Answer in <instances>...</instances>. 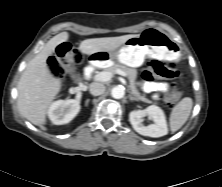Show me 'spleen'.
<instances>
[{"instance_id":"obj_1","label":"spleen","mask_w":222,"mask_h":187,"mask_svg":"<svg viewBox=\"0 0 222 187\" xmlns=\"http://www.w3.org/2000/svg\"><path fill=\"white\" fill-rule=\"evenodd\" d=\"M193 106L189 97L183 98L173 109L169 117V125L172 133L179 130L188 120Z\"/></svg>"}]
</instances>
